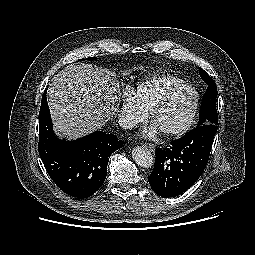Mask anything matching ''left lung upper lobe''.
I'll use <instances>...</instances> for the list:
<instances>
[{
  "label": "left lung upper lobe",
  "instance_id": "obj_1",
  "mask_svg": "<svg viewBox=\"0 0 255 255\" xmlns=\"http://www.w3.org/2000/svg\"><path fill=\"white\" fill-rule=\"evenodd\" d=\"M199 74L202 80L208 85L207 90L203 96L198 126L204 124H217V109H216V98H217V87L214 80L204 71L202 68L199 69Z\"/></svg>",
  "mask_w": 255,
  "mask_h": 255
}]
</instances>
